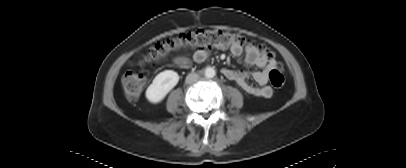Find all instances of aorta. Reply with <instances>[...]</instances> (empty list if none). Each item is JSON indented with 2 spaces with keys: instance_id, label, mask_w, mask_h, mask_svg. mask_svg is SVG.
Masks as SVG:
<instances>
[{
  "instance_id": "1",
  "label": "aorta",
  "mask_w": 406,
  "mask_h": 168,
  "mask_svg": "<svg viewBox=\"0 0 406 168\" xmlns=\"http://www.w3.org/2000/svg\"><path fill=\"white\" fill-rule=\"evenodd\" d=\"M204 74L206 78H213L215 76V70L212 67H207Z\"/></svg>"
}]
</instances>
